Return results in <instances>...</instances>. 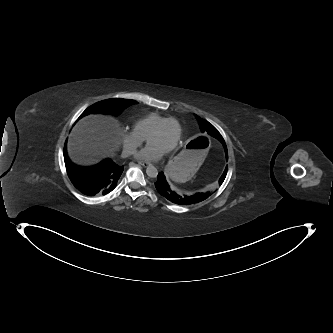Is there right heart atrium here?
<instances>
[{"instance_id":"1","label":"right heart atrium","mask_w":333,"mask_h":333,"mask_svg":"<svg viewBox=\"0 0 333 333\" xmlns=\"http://www.w3.org/2000/svg\"><path fill=\"white\" fill-rule=\"evenodd\" d=\"M144 138L141 137L135 130L124 131L123 133V145L128 154H135L137 149L144 142Z\"/></svg>"}]
</instances>
